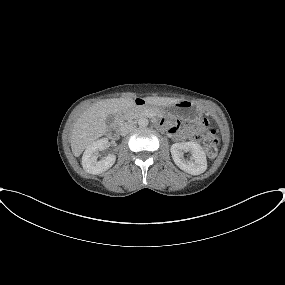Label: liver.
Returning a JSON list of instances; mask_svg holds the SVG:
<instances>
[{"label": "liver", "mask_w": 285, "mask_h": 285, "mask_svg": "<svg viewBox=\"0 0 285 285\" xmlns=\"http://www.w3.org/2000/svg\"><path fill=\"white\" fill-rule=\"evenodd\" d=\"M181 99L164 97H147L145 102L156 106H170ZM132 98H116L99 101L90 106L75 122L70 138L71 149L75 157H79L96 139L107 131L106 118L110 114L125 112L132 108Z\"/></svg>", "instance_id": "6515ba94"}]
</instances>
